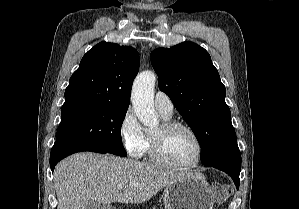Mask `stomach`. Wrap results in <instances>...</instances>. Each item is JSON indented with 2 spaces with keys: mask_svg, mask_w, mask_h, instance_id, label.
<instances>
[{
  "mask_svg": "<svg viewBox=\"0 0 299 209\" xmlns=\"http://www.w3.org/2000/svg\"><path fill=\"white\" fill-rule=\"evenodd\" d=\"M165 209H213L214 197L204 175L190 173L163 191Z\"/></svg>",
  "mask_w": 299,
  "mask_h": 209,
  "instance_id": "1",
  "label": "stomach"
}]
</instances>
